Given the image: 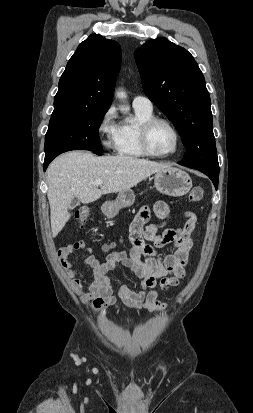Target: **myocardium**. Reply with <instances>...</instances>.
I'll return each mask as SVG.
<instances>
[{
  "mask_svg": "<svg viewBox=\"0 0 253 413\" xmlns=\"http://www.w3.org/2000/svg\"><path fill=\"white\" fill-rule=\"evenodd\" d=\"M157 123H164L166 124L174 133L175 136V146L173 150L169 153L165 154H159L156 153L152 150L151 145H150V131L153 128V126ZM139 142L141 149L143 152L150 157L154 158H167L171 157L174 154H176L180 148L181 145V136L180 133L177 129V127L174 125L172 121H170L167 118L164 117H159V116H152L143 122L140 123L139 125Z\"/></svg>",
  "mask_w": 253,
  "mask_h": 413,
  "instance_id": "myocardium-1",
  "label": "myocardium"
}]
</instances>
